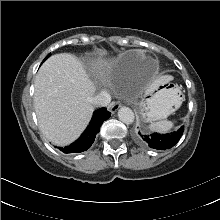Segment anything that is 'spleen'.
Masks as SVG:
<instances>
[{
  "mask_svg": "<svg viewBox=\"0 0 220 220\" xmlns=\"http://www.w3.org/2000/svg\"><path fill=\"white\" fill-rule=\"evenodd\" d=\"M174 123L175 121L162 120L158 122H152L149 125V128L150 130L156 131L159 133H167L173 128Z\"/></svg>",
  "mask_w": 220,
  "mask_h": 220,
  "instance_id": "3e777b00",
  "label": "spleen"
}]
</instances>
